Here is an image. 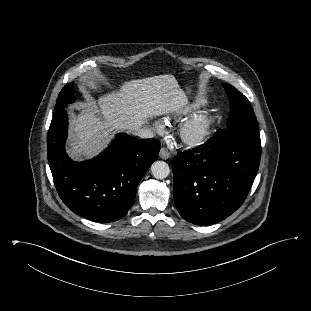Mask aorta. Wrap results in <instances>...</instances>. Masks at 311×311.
<instances>
[{
	"mask_svg": "<svg viewBox=\"0 0 311 311\" xmlns=\"http://www.w3.org/2000/svg\"><path fill=\"white\" fill-rule=\"evenodd\" d=\"M151 173L156 179H164L170 173L168 164L164 161H156L151 165Z\"/></svg>",
	"mask_w": 311,
	"mask_h": 311,
	"instance_id": "aorta-1",
	"label": "aorta"
}]
</instances>
